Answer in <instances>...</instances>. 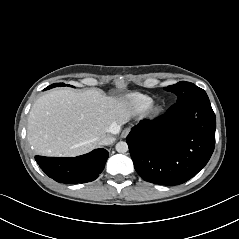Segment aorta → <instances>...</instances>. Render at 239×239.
Segmentation results:
<instances>
[{"instance_id": "obj_1", "label": "aorta", "mask_w": 239, "mask_h": 239, "mask_svg": "<svg viewBox=\"0 0 239 239\" xmlns=\"http://www.w3.org/2000/svg\"><path fill=\"white\" fill-rule=\"evenodd\" d=\"M115 148H116V151L119 152V153H125V152L128 151V145L124 141L118 142L116 144Z\"/></svg>"}]
</instances>
